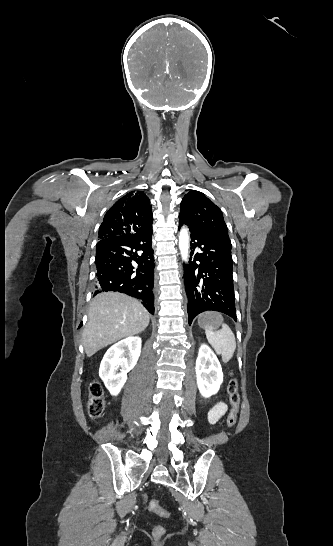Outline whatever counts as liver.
I'll return each instance as SVG.
<instances>
[{
	"mask_svg": "<svg viewBox=\"0 0 333 546\" xmlns=\"http://www.w3.org/2000/svg\"><path fill=\"white\" fill-rule=\"evenodd\" d=\"M149 319L148 311L136 299L113 292L96 295L82 334L86 355L90 357L110 344L141 333Z\"/></svg>",
	"mask_w": 333,
	"mask_h": 546,
	"instance_id": "6515ba94",
	"label": "liver"
}]
</instances>
